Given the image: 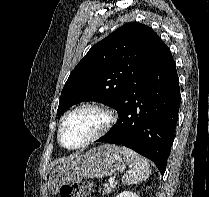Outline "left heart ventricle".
I'll return each mask as SVG.
<instances>
[{"instance_id":"left-heart-ventricle-1","label":"left heart ventricle","mask_w":209,"mask_h":197,"mask_svg":"<svg viewBox=\"0 0 209 197\" xmlns=\"http://www.w3.org/2000/svg\"><path fill=\"white\" fill-rule=\"evenodd\" d=\"M104 114L93 108H84L71 115L64 124L61 139L65 146L73 147L93 135L104 124Z\"/></svg>"}]
</instances>
